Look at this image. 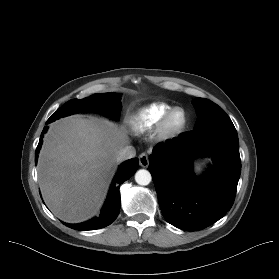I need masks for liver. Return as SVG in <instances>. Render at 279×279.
Returning a JSON list of instances; mask_svg holds the SVG:
<instances>
[{
    "label": "liver",
    "instance_id": "1",
    "mask_svg": "<svg viewBox=\"0 0 279 279\" xmlns=\"http://www.w3.org/2000/svg\"><path fill=\"white\" fill-rule=\"evenodd\" d=\"M128 139L114 123L69 116L53 122L39 155L38 178L55 216L83 222L100 209Z\"/></svg>",
    "mask_w": 279,
    "mask_h": 279
}]
</instances>
